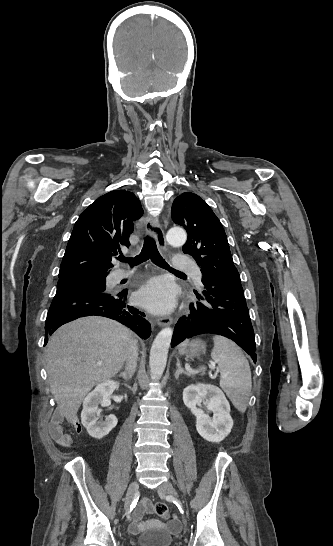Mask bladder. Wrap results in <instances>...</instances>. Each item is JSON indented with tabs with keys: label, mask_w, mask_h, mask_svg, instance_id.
Masks as SVG:
<instances>
[{
	"label": "bladder",
	"mask_w": 333,
	"mask_h": 546,
	"mask_svg": "<svg viewBox=\"0 0 333 546\" xmlns=\"http://www.w3.org/2000/svg\"><path fill=\"white\" fill-rule=\"evenodd\" d=\"M138 546H170L172 536L162 530H152L140 535Z\"/></svg>",
	"instance_id": "31cf9c89"
}]
</instances>
